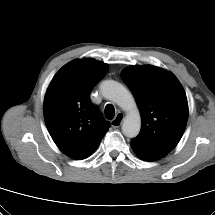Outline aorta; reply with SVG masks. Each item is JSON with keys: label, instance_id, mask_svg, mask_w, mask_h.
Here are the masks:
<instances>
[{"label": "aorta", "instance_id": "1", "mask_svg": "<svg viewBox=\"0 0 215 215\" xmlns=\"http://www.w3.org/2000/svg\"><path fill=\"white\" fill-rule=\"evenodd\" d=\"M102 95L116 103L125 112L126 116L122 124V132L126 137H136L141 128V117L132 94L119 82L105 80L100 85Z\"/></svg>", "mask_w": 215, "mask_h": 215}]
</instances>
